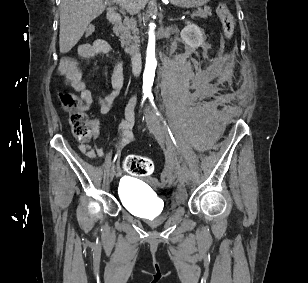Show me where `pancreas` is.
Listing matches in <instances>:
<instances>
[{"label": "pancreas", "mask_w": 308, "mask_h": 283, "mask_svg": "<svg viewBox=\"0 0 308 283\" xmlns=\"http://www.w3.org/2000/svg\"><path fill=\"white\" fill-rule=\"evenodd\" d=\"M208 15H211L209 7L204 10H198L193 13L192 17H201L206 19ZM115 33L120 37L121 46L125 48V52L131 55L135 54L139 50V36L137 24L134 19L125 17L123 23L118 24L115 27Z\"/></svg>", "instance_id": "cf45deb5"}]
</instances>
